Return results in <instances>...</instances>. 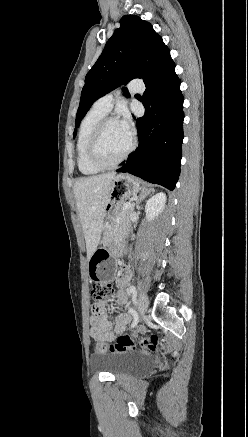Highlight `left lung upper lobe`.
Segmentation results:
<instances>
[{"mask_svg":"<svg viewBox=\"0 0 248 437\" xmlns=\"http://www.w3.org/2000/svg\"><path fill=\"white\" fill-rule=\"evenodd\" d=\"M120 23L85 77L76 127L97 99L134 78L147 83L172 61L168 47L150 23L134 15L124 16Z\"/></svg>","mask_w":248,"mask_h":437,"instance_id":"left-lung-upper-lobe-1","label":"left lung upper lobe"}]
</instances>
